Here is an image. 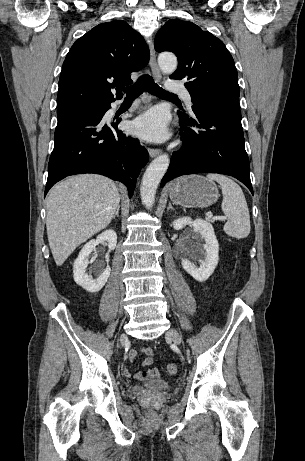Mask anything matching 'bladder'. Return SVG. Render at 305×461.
<instances>
[{
    "label": "bladder",
    "instance_id": "1",
    "mask_svg": "<svg viewBox=\"0 0 305 461\" xmlns=\"http://www.w3.org/2000/svg\"><path fill=\"white\" fill-rule=\"evenodd\" d=\"M143 387L149 391H163L171 389L172 385L168 381L156 379L145 382Z\"/></svg>",
    "mask_w": 305,
    "mask_h": 461
}]
</instances>
